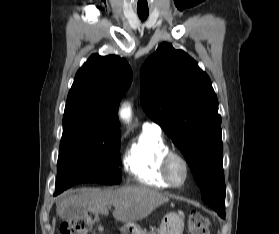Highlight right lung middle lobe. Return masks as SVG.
I'll list each match as a JSON object with an SVG mask.
<instances>
[{"label":"right lung middle lobe","mask_w":279,"mask_h":234,"mask_svg":"<svg viewBox=\"0 0 279 234\" xmlns=\"http://www.w3.org/2000/svg\"><path fill=\"white\" fill-rule=\"evenodd\" d=\"M58 158L57 195L77 183L119 184L120 133L98 131L84 119H63Z\"/></svg>","instance_id":"1"}]
</instances>
